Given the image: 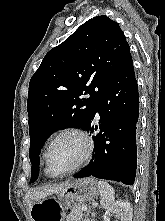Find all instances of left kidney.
Listing matches in <instances>:
<instances>
[{
    "mask_svg": "<svg viewBox=\"0 0 165 221\" xmlns=\"http://www.w3.org/2000/svg\"><path fill=\"white\" fill-rule=\"evenodd\" d=\"M115 214V217L120 221H132V206L128 201H116L104 214V221H110V218ZM117 221V220H116Z\"/></svg>",
    "mask_w": 165,
    "mask_h": 221,
    "instance_id": "1",
    "label": "left kidney"
}]
</instances>
